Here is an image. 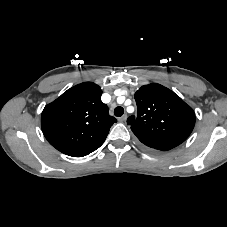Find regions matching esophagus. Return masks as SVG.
Segmentation results:
<instances>
[{"label":"esophagus","instance_id":"esophagus-1","mask_svg":"<svg viewBox=\"0 0 227 227\" xmlns=\"http://www.w3.org/2000/svg\"><path fill=\"white\" fill-rule=\"evenodd\" d=\"M127 119V115L124 114L123 116H121L120 118H118L119 122H124Z\"/></svg>","mask_w":227,"mask_h":227}]
</instances>
